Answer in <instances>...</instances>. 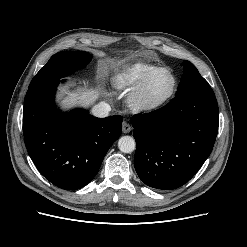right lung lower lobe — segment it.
I'll list each match as a JSON object with an SVG mask.
<instances>
[{
  "instance_id": "obj_1",
  "label": "right lung lower lobe",
  "mask_w": 247,
  "mask_h": 247,
  "mask_svg": "<svg viewBox=\"0 0 247 247\" xmlns=\"http://www.w3.org/2000/svg\"><path fill=\"white\" fill-rule=\"evenodd\" d=\"M64 81V80H63ZM60 79L29 87L24 99L23 133L27 151L39 172L66 190L88 184L111 145L121 135V116L96 118L78 109H56Z\"/></svg>"
}]
</instances>
